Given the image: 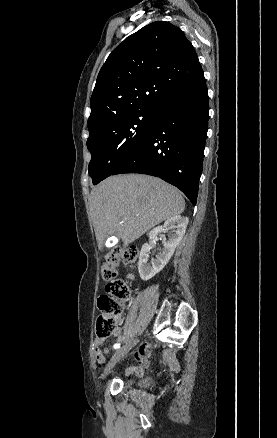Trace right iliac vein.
I'll return each instance as SVG.
<instances>
[{
  "mask_svg": "<svg viewBox=\"0 0 277 438\" xmlns=\"http://www.w3.org/2000/svg\"><path fill=\"white\" fill-rule=\"evenodd\" d=\"M137 342L138 341H134L129 344H126L125 346H122L115 351L111 360L108 362L104 370L103 378H105L110 373L111 369L115 366V364L119 362L120 359L123 358L132 349V347L136 345Z\"/></svg>",
  "mask_w": 277,
  "mask_h": 438,
  "instance_id": "obj_1",
  "label": "right iliac vein"
}]
</instances>
